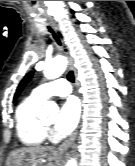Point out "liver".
<instances>
[{"instance_id":"1","label":"liver","mask_w":135,"mask_h":166,"mask_svg":"<svg viewBox=\"0 0 135 166\" xmlns=\"http://www.w3.org/2000/svg\"><path fill=\"white\" fill-rule=\"evenodd\" d=\"M49 150H50L49 147H42V146L24 147V148L12 151L9 154L7 162L10 161L12 157H15V156H21L23 157V160L26 156H29V158L31 159L30 162H33L34 165L41 164L44 161L43 159L47 155L46 152ZM22 165H24V162Z\"/></svg>"}]
</instances>
